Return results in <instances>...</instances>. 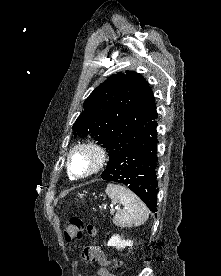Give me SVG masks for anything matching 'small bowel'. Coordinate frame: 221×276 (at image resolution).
Here are the masks:
<instances>
[{"mask_svg": "<svg viewBox=\"0 0 221 276\" xmlns=\"http://www.w3.org/2000/svg\"><path fill=\"white\" fill-rule=\"evenodd\" d=\"M82 258L87 262H98L101 267L98 269V276H115L107 269V263L109 262L102 249L99 246H88L82 251ZM77 276H82L78 274Z\"/></svg>", "mask_w": 221, "mask_h": 276, "instance_id": "obj_1", "label": "small bowel"}]
</instances>
